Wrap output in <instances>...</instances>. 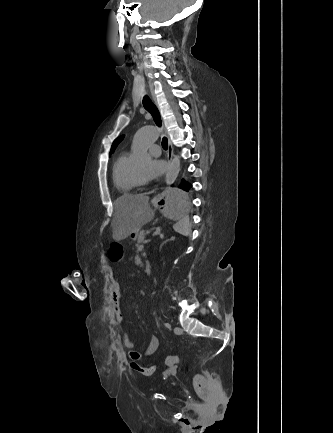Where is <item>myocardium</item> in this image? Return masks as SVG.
I'll list each match as a JSON object with an SVG mask.
<instances>
[{"mask_svg": "<svg viewBox=\"0 0 333 433\" xmlns=\"http://www.w3.org/2000/svg\"><path fill=\"white\" fill-rule=\"evenodd\" d=\"M130 179L134 186H142L145 184V181H142L138 178L133 166H131Z\"/></svg>", "mask_w": 333, "mask_h": 433, "instance_id": "f54148a6", "label": "myocardium"}]
</instances>
